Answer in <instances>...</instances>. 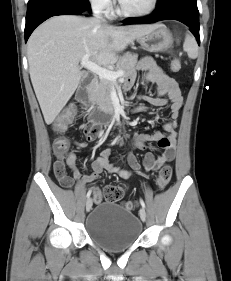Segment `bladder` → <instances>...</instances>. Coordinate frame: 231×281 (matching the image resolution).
<instances>
[{"instance_id":"31cf9c89","label":"bladder","mask_w":231,"mask_h":281,"mask_svg":"<svg viewBox=\"0 0 231 281\" xmlns=\"http://www.w3.org/2000/svg\"><path fill=\"white\" fill-rule=\"evenodd\" d=\"M89 238L108 251L131 247L142 233L138 217L113 202H102L87 216L85 223Z\"/></svg>"}]
</instances>
